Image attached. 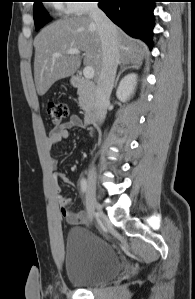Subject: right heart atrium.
Returning <instances> with one entry per match:
<instances>
[{"label": "right heart atrium", "instance_id": "1", "mask_svg": "<svg viewBox=\"0 0 195 299\" xmlns=\"http://www.w3.org/2000/svg\"><path fill=\"white\" fill-rule=\"evenodd\" d=\"M90 0H70L63 4L65 7L64 11L68 14L84 15L91 10ZM62 5V4H61Z\"/></svg>", "mask_w": 195, "mask_h": 299}]
</instances>
